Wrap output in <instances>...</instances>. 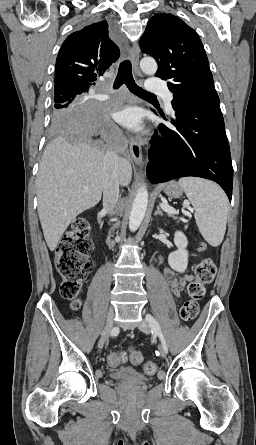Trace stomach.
<instances>
[{"instance_id":"obj_1","label":"stomach","mask_w":256,"mask_h":445,"mask_svg":"<svg viewBox=\"0 0 256 445\" xmlns=\"http://www.w3.org/2000/svg\"><path fill=\"white\" fill-rule=\"evenodd\" d=\"M164 192L169 198H179L183 194V189L176 181H171L165 185Z\"/></svg>"}]
</instances>
